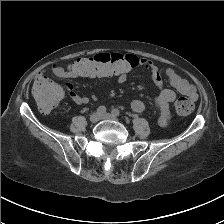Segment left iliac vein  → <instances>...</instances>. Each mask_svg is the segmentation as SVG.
Instances as JSON below:
<instances>
[{"mask_svg":"<svg viewBox=\"0 0 224 224\" xmlns=\"http://www.w3.org/2000/svg\"><path fill=\"white\" fill-rule=\"evenodd\" d=\"M102 119H111V120H116L117 117L114 116L113 114L110 113H105L101 116Z\"/></svg>","mask_w":224,"mask_h":224,"instance_id":"left-iliac-vein-1","label":"left iliac vein"}]
</instances>
